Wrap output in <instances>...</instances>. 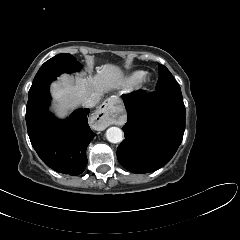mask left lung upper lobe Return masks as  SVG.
I'll list each match as a JSON object with an SVG mask.
<instances>
[{
  "mask_svg": "<svg viewBox=\"0 0 240 240\" xmlns=\"http://www.w3.org/2000/svg\"><path fill=\"white\" fill-rule=\"evenodd\" d=\"M159 80L156 85V90L159 89H180L178 83L170 73V71L164 66L159 65Z\"/></svg>",
  "mask_w": 240,
  "mask_h": 240,
  "instance_id": "left-lung-upper-lobe-1",
  "label": "left lung upper lobe"
}]
</instances>
